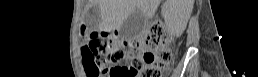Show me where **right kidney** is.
<instances>
[{"label": "right kidney", "mask_w": 258, "mask_h": 77, "mask_svg": "<svg viewBox=\"0 0 258 77\" xmlns=\"http://www.w3.org/2000/svg\"><path fill=\"white\" fill-rule=\"evenodd\" d=\"M172 9V8H169ZM169 22L170 29L174 35L179 36L182 34L185 28V24L180 20L179 16H171Z\"/></svg>", "instance_id": "1"}]
</instances>
